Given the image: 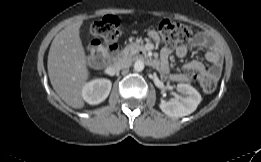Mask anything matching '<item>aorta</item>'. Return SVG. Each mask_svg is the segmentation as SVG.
<instances>
[{
  "mask_svg": "<svg viewBox=\"0 0 261 162\" xmlns=\"http://www.w3.org/2000/svg\"><path fill=\"white\" fill-rule=\"evenodd\" d=\"M144 69V62L141 60H137L134 63V70L137 72H141Z\"/></svg>",
  "mask_w": 261,
  "mask_h": 162,
  "instance_id": "762f6f07",
  "label": "aorta"
}]
</instances>
